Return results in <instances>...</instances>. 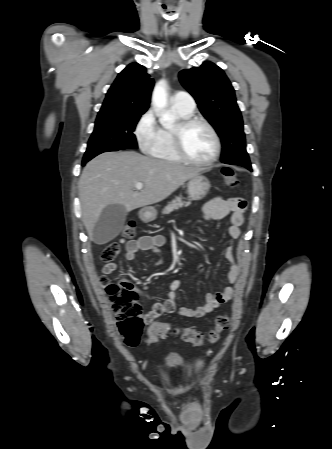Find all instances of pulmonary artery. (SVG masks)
Masks as SVG:
<instances>
[{
  "instance_id": "e3ab8cb5",
  "label": "pulmonary artery",
  "mask_w": 332,
  "mask_h": 449,
  "mask_svg": "<svg viewBox=\"0 0 332 449\" xmlns=\"http://www.w3.org/2000/svg\"><path fill=\"white\" fill-rule=\"evenodd\" d=\"M172 105L187 112H193L195 101L192 96L185 91H177L171 98Z\"/></svg>"
}]
</instances>
